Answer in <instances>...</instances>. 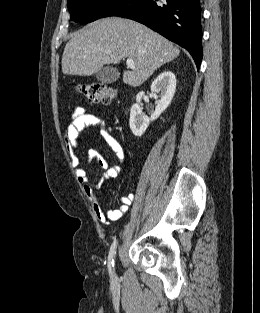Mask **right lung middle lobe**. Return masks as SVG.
<instances>
[{
	"mask_svg": "<svg viewBox=\"0 0 260 313\" xmlns=\"http://www.w3.org/2000/svg\"><path fill=\"white\" fill-rule=\"evenodd\" d=\"M121 0H68L71 20L89 23L102 18Z\"/></svg>",
	"mask_w": 260,
	"mask_h": 313,
	"instance_id": "1",
	"label": "right lung middle lobe"
}]
</instances>
